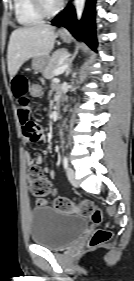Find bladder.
<instances>
[{
	"mask_svg": "<svg viewBox=\"0 0 134 281\" xmlns=\"http://www.w3.org/2000/svg\"><path fill=\"white\" fill-rule=\"evenodd\" d=\"M88 227L86 217L58 211L50 207H35L30 214V239L34 244L62 250L72 244Z\"/></svg>",
	"mask_w": 134,
	"mask_h": 281,
	"instance_id": "bladder-1",
	"label": "bladder"
}]
</instances>
